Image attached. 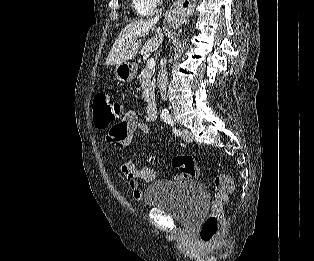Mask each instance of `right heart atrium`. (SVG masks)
Returning <instances> with one entry per match:
<instances>
[{
    "mask_svg": "<svg viewBox=\"0 0 314 261\" xmlns=\"http://www.w3.org/2000/svg\"><path fill=\"white\" fill-rule=\"evenodd\" d=\"M153 8H156L163 0H149Z\"/></svg>",
    "mask_w": 314,
    "mask_h": 261,
    "instance_id": "d8ad5b80",
    "label": "right heart atrium"
}]
</instances>
